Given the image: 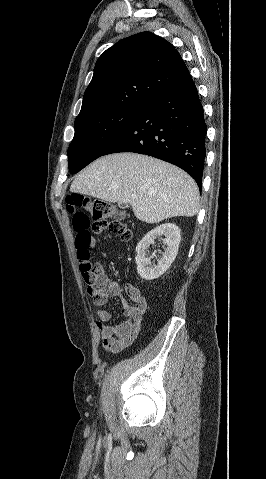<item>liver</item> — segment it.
Here are the masks:
<instances>
[{"label":"liver","mask_w":266,"mask_h":479,"mask_svg":"<svg viewBox=\"0 0 266 479\" xmlns=\"http://www.w3.org/2000/svg\"><path fill=\"white\" fill-rule=\"evenodd\" d=\"M70 191L129 203L136 218L150 224L176 216L192 217L199 211L198 187L186 172L135 153L97 159L74 179Z\"/></svg>","instance_id":"1"}]
</instances>
